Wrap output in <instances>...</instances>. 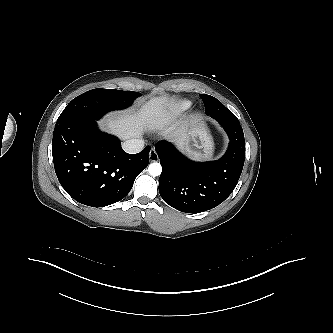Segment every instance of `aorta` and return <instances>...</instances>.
Wrapping results in <instances>:
<instances>
[{"mask_svg":"<svg viewBox=\"0 0 333 333\" xmlns=\"http://www.w3.org/2000/svg\"><path fill=\"white\" fill-rule=\"evenodd\" d=\"M148 172L151 176H159L162 172V167L159 163L153 162L149 165Z\"/></svg>","mask_w":333,"mask_h":333,"instance_id":"aorta-1","label":"aorta"}]
</instances>
